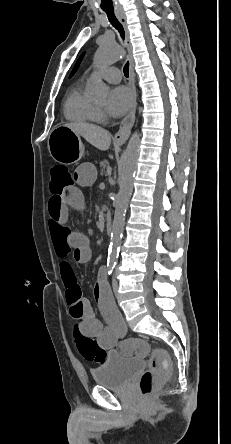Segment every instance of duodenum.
Masks as SVG:
<instances>
[{"instance_id":"1","label":"duodenum","mask_w":231,"mask_h":444,"mask_svg":"<svg viewBox=\"0 0 231 444\" xmlns=\"http://www.w3.org/2000/svg\"><path fill=\"white\" fill-rule=\"evenodd\" d=\"M105 230L107 234H111L113 230V221L111 216H107L105 221Z\"/></svg>"}]
</instances>
